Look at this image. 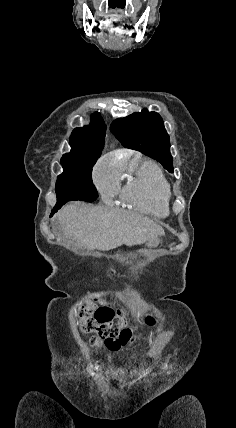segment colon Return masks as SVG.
I'll list each match as a JSON object with an SVG mask.
<instances>
[{"label": "colon", "mask_w": 236, "mask_h": 428, "mask_svg": "<svg viewBox=\"0 0 236 428\" xmlns=\"http://www.w3.org/2000/svg\"><path fill=\"white\" fill-rule=\"evenodd\" d=\"M94 303H100L97 296ZM95 306V305H94ZM80 328L83 332L93 334L90 343L93 346L104 345L114 350L122 346L132 335L133 330L126 328V313L123 310H113L109 307H84L79 314ZM149 324L153 320H148Z\"/></svg>", "instance_id": "obj_1"}]
</instances>
